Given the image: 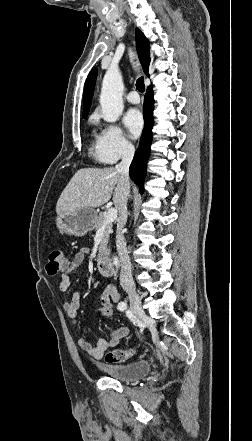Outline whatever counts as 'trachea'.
Returning a JSON list of instances; mask_svg holds the SVG:
<instances>
[{
    "instance_id": "trachea-1",
    "label": "trachea",
    "mask_w": 252,
    "mask_h": 441,
    "mask_svg": "<svg viewBox=\"0 0 252 441\" xmlns=\"http://www.w3.org/2000/svg\"><path fill=\"white\" fill-rule=\"evenodd\" d=\"M136 89L140 92H144L145 85H144V78L143 77L138 78V80L136 82Z\"/></svg>"
}]
</instances>
